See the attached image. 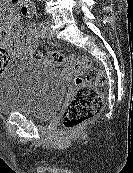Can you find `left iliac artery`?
Wrapping results in <instances>:
<instances>
[{
    "instance_id": "obj_1",
    "label": "left iliac artery",
    "mask_w": 133,
    "mask_h": 173,
    "mask_svg": "<svg viewBox=\"0 0 133 173\" xmlns=\"http://www.w3.org/2000/svg\"><path fill=\"white\" fill-rule=\"evenodd\" d=\"M43 29H44V23H43V21H41L38 25V28H37V34L40 37H42Z\"/></svg>"
}]
</instances>
